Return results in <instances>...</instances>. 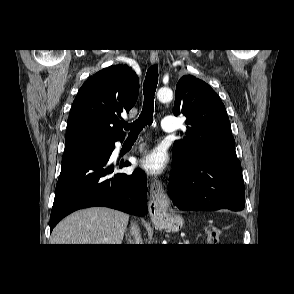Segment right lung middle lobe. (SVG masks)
<instances>
[{
  "instance_id": "obj_1",
  "label": "right lung middle lobe",
  "mask_w": 294,
  "mask_h": 294,
  "mask_svg": "<svg viewBox=\"0 0 294 294\" xmlns=\"http://www.w3.org/2000/svg\"><path fill=\"white\" fill-rule=\"evenodd\" d=\"M112 146V142H103L95 140H81L66 144L64 154L68 155L74 152L95 150L100 148H109Z\"/></svg>"
}]
</instances>
